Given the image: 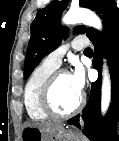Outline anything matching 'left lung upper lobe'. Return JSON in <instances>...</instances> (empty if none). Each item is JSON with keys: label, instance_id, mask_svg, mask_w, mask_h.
Here are the masks:
<instances>
[{"label": "left lung upper lobe", "instance_id": "1", "mask_svg": "<svg viewBox=\"0 0 119 141\" xmlns=\"http://www.w3.org/2000/svg\"><path fill=\"white\" fill-rule=\"evenodd\" d=\"M67 4L68 0H55L37 13L31 24V39L24 63L25 79L28 78L42 58L56 49L63 37L67 36L68 30L62 28L59 22L62 11ZM79 5L95 11L103 23L118 9L114 0H80ZM74 32L76 34L86 32L89 38L96 30L78 26Z\"/></svg>", "mask_w": 119, "mask_h": 141}]
</instances>
